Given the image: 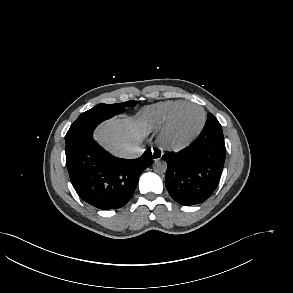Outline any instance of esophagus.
I'll return each mask as SVG.
<instances>
[{
    "mask_svg": "<svg viewBox=\"0 0 293 293\" xmlns=\"http://www.w3.org/2000/svg\"><path fill=\"white\" fill-rule=\"evenodd\" d=\"M162 155H163V152L161 149H159V148L152 149L153 161L160 160Z\"/></svg>",
    "mask_w": 293,
    "mask_h": 293,
    "instance_id": "obj_1",
    "label": "esophagus"
}]
</instances>
